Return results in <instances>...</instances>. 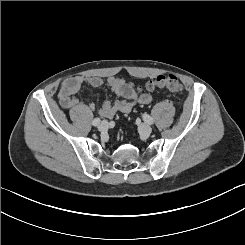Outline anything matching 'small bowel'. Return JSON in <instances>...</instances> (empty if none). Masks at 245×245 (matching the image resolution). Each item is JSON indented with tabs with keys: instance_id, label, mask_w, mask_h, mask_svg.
Instances as JSON below:
<instances>
[{
	"instance_id": "c3829d8e",
	"label": "small bowel",
	"mask_w": 245,
	"mask_h": 245,
	"mask_svg": "<svg viewBox=\"0 0 245 245\" xmlns=\"http://www.w3.org/2000/svg\"><path fill=\"white\" fill-rule=\"evenodd\" d=\"M107 87L121 99L114 102L103 101L98 108V113L106 118H111L117 113H129L136 104H148L153 100L150 93L138 92L136 86L119 77H109L106 80L99 76H76L64 80L60 86L58 98L60 105L69 110L71 119L79 126H84L90 119L96 106L92 102H81L75 95L83 85Z\"/></svg>"
}]
</instances>
